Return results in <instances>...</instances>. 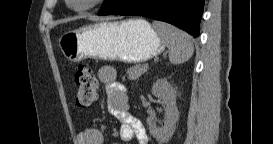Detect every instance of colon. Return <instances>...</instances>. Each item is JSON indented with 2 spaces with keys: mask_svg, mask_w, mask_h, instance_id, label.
<instances>
[{
  "mask_svg": "<svg viewBox=\"0 0 273 144\" xmlns=\"http://www.w3.org/2000/svg\"><path fill=\"white\" fill-rule=\"evenodd\" d=\"M75 83L76 104L81 108L89 107L97 97L98 82L94 73L89 68L79 65L75 70Z\"/></svg>",
  "mask_w": 273,
  "mask_h": 144,
  "instance_id": "1",
  "label": "colon"
}]
</instances>
